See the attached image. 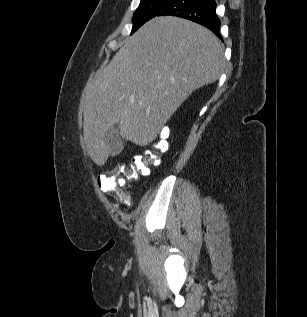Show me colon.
<instances>
[{"label":"colon","instance_id":"5ec220e1","mask_svg":"<svg viewBox=\"0 0 307 317\" xmlns=\"http://www.w3.org/2000/svg\"><path fill=\"white\" fill-rule=\"evenodd\" d=\"M169 129H160L150 147L141 155L132 159L129 166L119 165L115 169L101 174L98 183L107 192L121 201H125L127 193L122 189L121 182L137 179L140 175H148L150 166L158 165L161 156L168 150Z\"/></svg>","mask_w":307,"mask_h":317}]
</instances>
